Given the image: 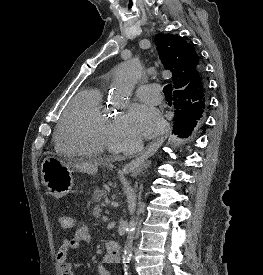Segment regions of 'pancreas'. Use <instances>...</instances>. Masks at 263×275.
Listing matches in <instances>:
<instances>
[{
  "label": "pancreas",
  "mask_w": 263,
  "mask_h": 275,
  "mask_svg": "<svg viewBox=\"0 0 263 275\" xmlns=\"http://www.w3.org/2000/svg\"><path fill=\"white\" fill-rule=\"evenodd\" d=\"M104 195H105V192L97 190L93 195V200L96 203H99ZM101 213H102L101 205L97 204L92 214L95 218H99L101 216Z\"/></svg>",
  "instance_id": "cf45deb5"
}]
</instances>
